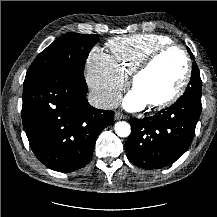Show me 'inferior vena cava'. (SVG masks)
Listing matches in <instances>:
<instances>
[{
    "label": "inferior vena cava",
    "instance_id": "1",
    "mask_svg": "<svg viewBox=\"0 0 217 217\" xmlns=\"http://www.w3.org/2000/svg\"><path fill=\"white\" fill-rule=\"evenodd\" d=\"M87 98L89 104L98 109H114L119 105V97L114 93L91 91Z\"/></svg>",
    "mask_w": 217,
    "mask_h": 217
}]
</instances>
